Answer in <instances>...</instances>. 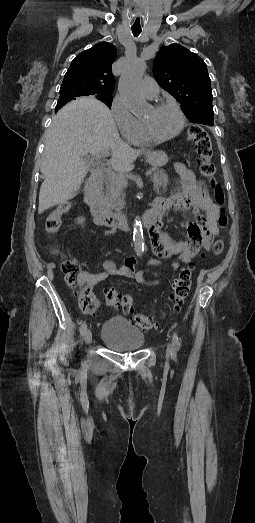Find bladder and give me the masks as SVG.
Here are the masks:
<instances>
[{
	"instance_id": "bladder-1",
	"label": "bladder",
	"mask_w": 255,
	"mask_h": 523,
	"mask_svg": "<svg viewBox=\"0 0 255 523\" xmlns=\"http://www.w3.org/2000/svg\"><path fill=\"white\" fill-rule=\"evenodd\" d=\"M101 341L127 352L138 350L145 343V335L127 319H108L102 327Z\"/></svg>"
}]
</instances>
